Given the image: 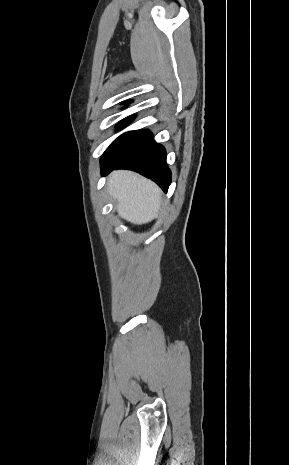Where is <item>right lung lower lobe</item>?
Returning <instances> with one entry per match:
<instances>
[{"label":"right lung lower lobe","instance_id":"1","mask_svg":"<svg viewBox=\"0 0 289 465\" xmlns=\"http://www.w3.org/2000/svg\"><path fill=\"white\" fill-rule=\"evenodd\" d=\"M114 169L139 172L155 181L165 193L171 183V172L166 163V151L162 145L153 140L150 132L122 159L115 162H101L102 175Z\"/></svg>","mask_w":289,"mask_h":465}]
</instances>
